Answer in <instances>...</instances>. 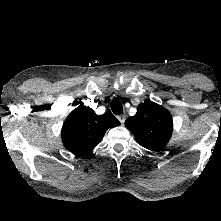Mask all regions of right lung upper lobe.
Instances as JSON below:
<instances>
[{
	"label": "right lung upper lobe",
	"mask_w": 221,
	"mask_h": 221,
	"mask_svg": "<svg viewBox=\"0 0 221 221\" xmlns=\"http://www.w3.org/2000/svg\"><path fill=\"white\" fill-rule=\"evenodd\" d=\"M118 125L119 120L109 112L98 116L91 108L79 106L63 124V144L74 154L86 155L100 143L108 128Z\"/></svg>",
	"instance_id": "cb5924a9"
}]
</instances>
